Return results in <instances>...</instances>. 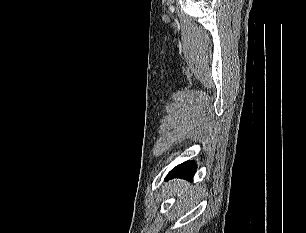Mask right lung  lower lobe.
<instances>
[{"mask_svg": "<svg viewBox=\"0 0 306 233\" xmlns=\"http://www.w3.org/2000/svg\"><path fill=\"white\" fill-rule=\"evenodd\" d=\"M196 171V165L193 161L184 162L175 168H173L168 175L166 176L165 180L173 179V178H184L188 180H192Z\"/></svg>", "mask_w": 306, "mask_h": 233, "instance_id": "obj_1", "label": "right lung lower lobe"}]
</instances>
